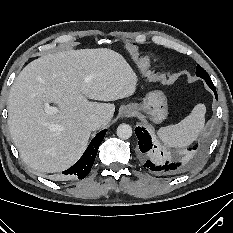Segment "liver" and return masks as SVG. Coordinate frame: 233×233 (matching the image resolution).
Returning <instances> with one entry per match:
<instances>
[{
  "mask_svg": "<svg viewBox=\"0 0 233 233\" xmlns=\"http://www.w3.org/2000/svg\"><path fill=\"white\" fill-rule=\"evenodd\" d=\"M136 75L119 53L107 49L68 50L30 62L16 77L8 98V125L21 158L38 172H59L83 154L90 115L112 119L115 101L133 95ZM87 98L96 101H89ZM56 105L57 112L45 108Z\"/></svg>",
  "mask_w": 233,
  "mask_h": 233,
  "instance_id": "obj_1",
  "label": "liver"
}]
</instances>
